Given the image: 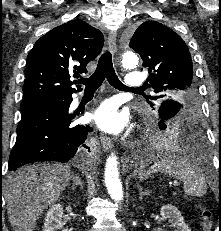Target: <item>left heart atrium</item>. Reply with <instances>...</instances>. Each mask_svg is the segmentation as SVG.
<instances>
[{
	"label": "left heart atrium",
	"instance_id": "obj_1",
	"mask_svg": "<svg viewBox=\"0 0 221 231\" xmlns=\"http://www.w3.org/2000/svg\"><path fill=\"white\" fill-rule=\"evenodd\" d=\"M93 119L98 127L110 133L120 132L127 124L128 117L125 112H120L117 105L111 101L103 102L93 114Z\"/></svg>",
	"mask_w": 221,
	"mask_h": 231
}]
</instances>
